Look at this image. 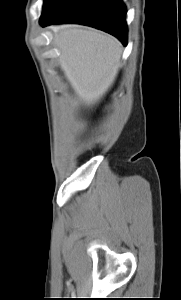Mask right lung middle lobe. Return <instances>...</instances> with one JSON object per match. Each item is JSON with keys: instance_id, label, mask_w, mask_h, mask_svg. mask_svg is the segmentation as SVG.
<instances>
[{"instance_id": "obj_1", "label": "right lung middle lobe", "mask_w": 181, "mask_h": 300, "mask_svg": "<svg viewBox=\"0 0 181 300\" xmlns=\"http://www.w3.org/2000/svg\"><path fill=\"white\" fill-rule=\"evenodd\" d=\"M62 0H44L42 16L53 10Z\"/></svg>"}]
</instances>
